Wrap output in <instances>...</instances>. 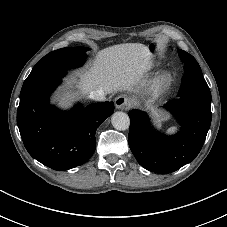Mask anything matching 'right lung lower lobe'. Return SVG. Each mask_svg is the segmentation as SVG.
<instances>
[{"instance_id": "right-lung-lower-lobe-1", "label": "right lung lower lobe", "mask_w": 227, "mask_h": 227, "mask_svg": "<svg viewBox=\"0 0 227 227\" xmlns=\"http://www.w3.org/2000/svg\"><path fill=\"white\" fill-rule=\"evenodd\" d=\"M66 71H54L24 83L17 125L29 154L58 171L84 164L96 148L97 128L114 111L113 102L78 104L62 112L51 107L49 96Z\"/></svg>"}]
</instances>
